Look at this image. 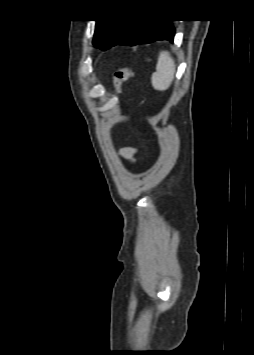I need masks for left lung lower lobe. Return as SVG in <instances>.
I'll return each mask as SVG.
<instances>
[{"instance_id":"0a47b994","label":"left lung lower lobe","mask_w":254,"mask_h":355,"mask_svg":"<svg viewBox=\"0 0 254 355\" xmlns=\"http://www.w3.org/2000/svg\"><path fill=\"white\" fill-rule=\"evenodd\" d=\"M175 29L171 20L162 19H132L130 20L121 35L113 45L139 43H152L161 40L173 41Z\"/></svg>"}]
</instances>
